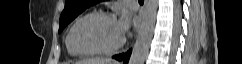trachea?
I'll use <instances>...</instances> for the list:
<instances>
[{
	"mask_svg": "<svg viewBox=\"0 0 242 64\" xmlns=\"http://www.w3.org/2000/svg\"><path fill=\"white\" fill-rule=\"evenodd\" d=\"M140 2H144V0H139Z\"/></svg>",
	"mask_w": 242,
	"mask_h": 64,
	"instance_id": "3493384b",
	"label": "trachea"
}]
</instances>
